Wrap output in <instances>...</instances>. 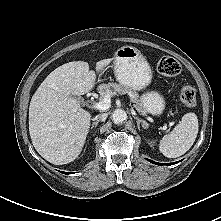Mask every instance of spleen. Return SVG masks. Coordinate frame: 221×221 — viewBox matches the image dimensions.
<instances>
[{
	"mask_svg": "<svg viewBox=\"0 0 221 221\" xmlns=\"http://www.w3.org/2000/svg\"><path fill=\"white\" fill-rule=\"evenodd\" d=\"M198 129L197 115L193 112L186 113L174 130L163 136L159 144L160 152L168 158L182 156L194 144Z\"/></svg>",
	"mask_w": 221,
	"mask_h": 221,
	"instance_id": "3e777b00",
	"label": "spleen"
}]
</instances>
